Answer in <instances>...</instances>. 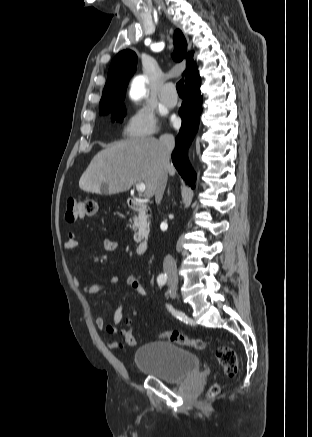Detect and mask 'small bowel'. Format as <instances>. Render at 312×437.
Wrapping results in <instances>:
<instances>
[{
    "instance_id": "c3829d8e",
    "label": "small bowel",
    "mask_w": 312,
    "mask_h": 437,
    "mask_svg": "<svg viewBox=\"0 0 312 437\" xmlns=\"http://www.w3.org/2000/svg\"><path fill=\"white\" fill-rule=\"evenodd\" d=\"M77 246H78L77 234L74 232H70L64 244V248L65 250L70 251L75 249ZM102 246L107 251H116L119 249V244L111 239H104L102 241ZM120 281H121L120 278L112 277L110 279V284L117 285L120 283ZM124 282L130 289L138 293L140 296L143 297L149 296L148 290L144 288L140 280L137 279L135 276L132 275L127 276L124 279ZM75 283L78 286V288L87 295H94L105 288V286L102 284L81 286L77 280L75 281ZM123 317H124V306L120 305L113 314L112 323H106L105 319L101 315H97L95 318V324L98 329L104 330L108 334H116L118 332V324L123 320ZM108 346L112 349H116L120 347V343L116 341H112L108 343Z\"/></svg>"
}]
</instances>
